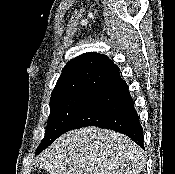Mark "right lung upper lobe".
Segmentation results:
<instances>
[{
  "mask_svg": "<svg viewBox=\"0 0 175 174\" xmlns=\"http://www.w3.org/2000/svg\"><path fill=\"white\" fill-rule=\"evenodd\" d=\"M119 72L106 55L88 52L69 61L62 70L51 97L88 91L91 92L101 82Z\"/></svg>",
  "mask_w": 175,
  "mask_h": 174,
  "instance_id": "obj_1",
  "label": "right lung upper lobe"
}]
</instances>
